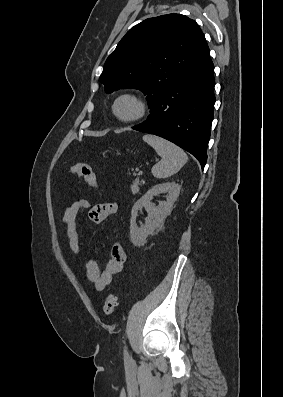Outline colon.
<instances>
[{
    "instance_id": "5ec220e1",
    "label": "colon",
    "mask_w": 283,
    "mask_h": 397,
    "mask_svg": "<svg viewBox=\"0 0 283 397\" xmlns=\"http://www.w3.org/2000/svg\"><path fill=\"white\" fill-rule=\"evenodd\" d=\"M70 172L72 174H75L83 178L90 187L97 189L98 183H97L96 175L89 164L83 162L74 163L70 167ZM115 307H116V297L110 294L105 299L103 311L106 315H111L114 312Z\"/></svg>"
}]
</instances>
